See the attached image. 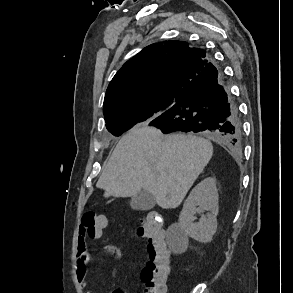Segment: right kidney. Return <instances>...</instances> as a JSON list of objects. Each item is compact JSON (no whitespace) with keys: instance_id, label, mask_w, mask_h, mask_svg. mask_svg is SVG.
Returning <instances> with one entry per match:
<instances>
[{"instance_id":"obj_1","label":"right kidney","mask_w":293,"mask_h":293,"mask_svg":"<svg viewBox=\"0 0 293 293\" xmlns=\"http://www.w3.org/2000/svg\"><path fill=\"white\" fill-rule=\"evenodd\" d=\"M204 211H208L206 216L203 214ZM196 213L201 214L198 223H194ZM217 214L216 181L213 178H206L192 189L183 204L179 216L181 233L202 243L210 242L217 230Z\"/></svg>"}]
</instances>
